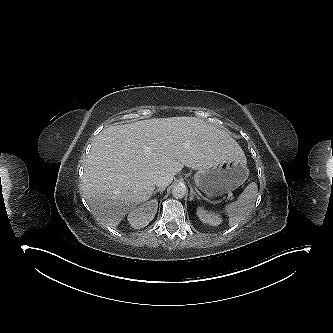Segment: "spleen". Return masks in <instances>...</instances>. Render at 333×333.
<instances>
[{"instance_id": "spleen-1", "label": "spleen", "mask_w": 333, "mask_h": 333, "mask_svg": "<svg viewBox=\"0 0 333 333\" xmlns=\"http://www.w3.org/2000/svg\"><path fill=\"white\" fill-rule=\"evenodd\" d=\"M258 188L255 182L250 183L235 202L227 204L224 212L229 216V225L234 226L241 223L252 211Z\"/></svg>"}]
</instances>
